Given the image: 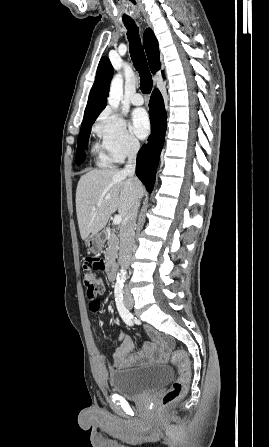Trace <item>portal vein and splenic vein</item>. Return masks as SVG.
<instances>
[{"label": "portal vein and splenic vein", "mask_w": 269, "mask_h": 447, "mask_svg": "<svg viewBox=\"0 0 269 447\" xmlns=\"http://www.w3.org/2000/svg\"><path fill=\"white\" fill-rule=\"evenodd\" d=\"M105 200H107V198H105ZM95 210V208H94ZM122 222V216H114V220H113V224H121Z\"/></svg>", "instance_id": "portal-vein-and-splenic-vein-1"}]
</instances>
